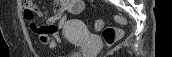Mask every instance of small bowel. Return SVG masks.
Returning <instances> with one entry per match:
<instances>
[{
    "label": "small bowel",
    "instance_id": "small-bowel-1",
    "mask_svg": "<svg viewBox=\"0 0 172 57\" xmlns=\"http://www.w3.org/2000/svg\"><path fill=\"white\" fill-rule=\"evenodd\" d=\"M25 8L30 6L33 8L35 4L32 0L23 1ZM55 13L52 17L45 22L36 23L34 21L35 15L38 17L43 16V12L38 10L37 13L30 17L24 13L26 21L29 23L30 29L34 32L39 41L50 48H54L58 42L62 41L61 29L65 27L64 14L68 12L77 13L82 8V1L79 0H56L54 1ZM57 21H60L57 24Z\"/></svg>",
    "mask_w": 172,
    "mask_h": 57
}]
</instances>
